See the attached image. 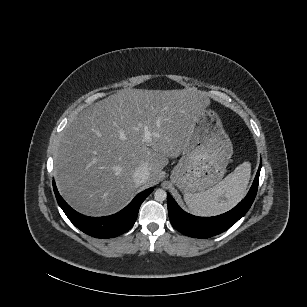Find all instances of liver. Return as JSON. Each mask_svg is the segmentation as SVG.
<instances>
[{
  "label": "liver",
  "instance_id": "obj_1",
  "mask_svg": "<svg viewBox=\"0 0 307 307\" xmlns=\"http://www.w3.org/2000/svg\"><path fill=\"white\" fill-rule=\"evenodd\" d=\"M209 102L197 88L123 89L80 112L55 154L54 177L63 199L78 213L118 212L138 188L133 173L146 164L154 181L168 157L183 150L194 115ZM157 136L143 142L140 125Z\"/></svg>",
  "mask_w": 307,
  "mask_h": 307
}]
</instances>
